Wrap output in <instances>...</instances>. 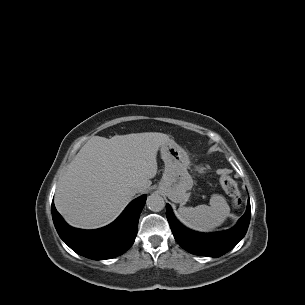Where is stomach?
<instances>
[{
	"label": "stomach",
	"mask_w": 305,
	"mask_h": 305,
	"mask_svg": "<svg viewBox=\"0 0 305 305\" xmlns=\"http://www.w3.org/2000/svg\"><path fill=\"white\" fill-rule=\"evenodd\" d=\"M161 158L165 163V171L159 190L175 203L184 204L192 188L193 180L187 169L189 156L187 152L173 140L161 145Z\"/></svg>",
	"instance_id": "1"
}]
</instances>
